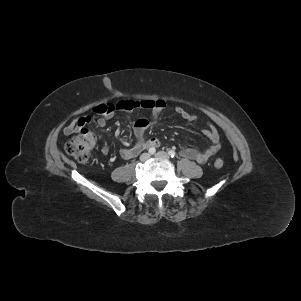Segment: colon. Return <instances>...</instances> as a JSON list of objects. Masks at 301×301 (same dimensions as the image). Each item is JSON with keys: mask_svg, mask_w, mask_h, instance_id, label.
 Instances as JSON below:
<instances>
[{"mask_svg": "<svg viewBox=\"0 0 301 301\" xmlns=\"http://www.w3.org/2000/svg\"><path fill=\"white\" fill-rule=\"evenodd\" d=\"M94 143V135L89 130L82 129L66 143L65 151L77 161L84 163L90 159ZM214 166L220 169L224 166V161L218 158L214 161Z\"/></svg>", "mask_w": 301, "mask_h": 301, "instance_id": "colon-1", "label": "colon"}]
</instances>
